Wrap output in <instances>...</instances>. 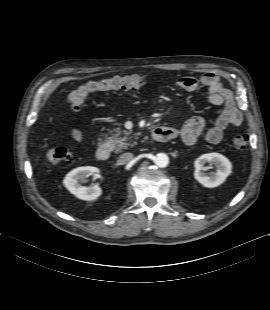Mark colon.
Here are the masks:
<instances>
[{"mask_svg":"<svg viewBox=\"0 0 270 310\" xmlns=\"http://www.w3.org/2000/svg\"><path fill=\"white\" fill-rule=\"evenodd\" d=\"M144 82L141 75H130L123 77H112L101 81H91L79 86L75 91L69 94L67 102L76 109L86 101L91 92L107 90H133L140 87ZM234 147L238 150H244L249 144V136L240 134L233 139ZM49 161L54 165H61L71 160L70 152L63 147L51 148L47 152Z\"/></svg>","mask_w":270,"mask_h":310,"instance_id":"obj_1","label":"colon"}]
</instances>
